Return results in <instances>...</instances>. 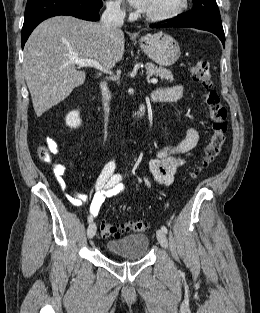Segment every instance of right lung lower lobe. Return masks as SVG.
I'll return each instance as SVG.
<instances>
[{
    "instance_id": "obj_1",
    "label": "right lung lower lobe",
    "mask_w": 260,
    "mask_h": 313,
    "mask_svg": "<svg viewBox=\"0 0 260 313\" xmlns=\"http://www.w3.org/2000/svg\"><path fill=\"white\" fill-rule=\"evenodd\" d=\"M102 6L101 0H28L21 33L22 48L33 29L43 20L58 15H70L97 21L100 19L99 10Z\"/></svg>"
}]
</instances>
